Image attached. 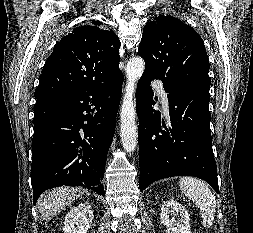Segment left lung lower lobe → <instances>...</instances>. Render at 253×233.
<instances>
[{"label":"left lung lower lobe","instance_id":"obj_1","mask_svg":"<svg viewBox=\"0 0 253 233\" xmlns=\"http://www.w3.org/2000/svg\"><path fill=\"white\" fill-rule=\"evenodd\" d=\"M144 72L136 91L139 118V188L172 176H194L208 182L219 193L217 168L212 150L209 112L210 95L200 89L167 92L170 124L166 125L155 105L150 82Z\"/></svg>","mask_w":253,"mask_h":233}]
</instances>
